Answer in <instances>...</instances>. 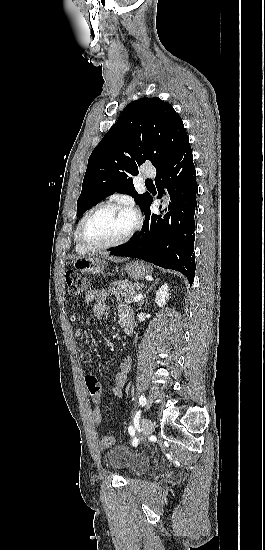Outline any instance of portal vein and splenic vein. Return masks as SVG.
<instances>
[{"label": "portal vein and splenic vein", "instance_id": "18ae733b", "mask_svg": "<svg viewBox=\"0 0 265 550\" xmlns=\"http://www.w3.org/2000/svg\"><path fill=\"white\" fill-rule=\"evenodd\" d=\"M142 297H143L142 294H138V295H136V296L133 298V301H134V302H138V301H140V300L142 299Z\"/></svg>", "mask_w": 265, "mask_h": 550}]
</instances>
